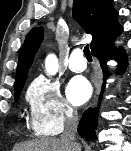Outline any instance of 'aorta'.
<instances>
[{"label":"aorta","mask_w":131,"mask_h":151,"mask_svg":"<svg viewBox=\"0 0 131 151\" xmlns=\"http://www.w3.org/2000/svg\"><path fill=\"white\" fill-rule=\"evenodd\" d=\"M46 70L48 74H55L58 70V61L55 55H49L46 59Z\"/></svg>","instance_id":"obj_1"}]
</instances>
